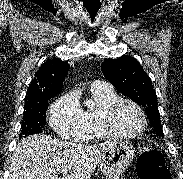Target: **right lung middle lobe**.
<instances>
[{"instance_id": "right-lung-middle-lobe-1", "label": "right lung middle lobe", "mask_w": 183, "mask_h": 179, "mask_svg": "<svg viewBox=\"0 0 183 179\" xmlns=\"http://www.w3.org/2000/svg\"><path fill=\"white\" fill-rule=\"evenodd\" d=\"M50 98L52 97L24 106L25 110L20 137L42 132L43 124L46 121L45 115L49 104L48 100Z\"/></svg>"}]
</instances>
